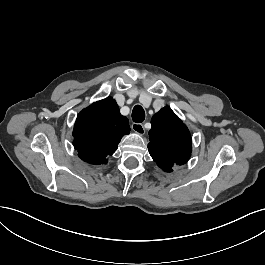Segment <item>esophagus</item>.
Listing matches in <instances>:
<instances>
[{
    "instance_id": "obj_1",
    "label": "esophagus",
    "mask_w": 265,
    "mask_h": 265,
    "mask_svg": "<svg viewBox=\"0 0 265 265\" xmlns=\"http://www.w3.org/2000/svg\"><path fill=\"white\" fill-rule=\"evenodd\" d=\"M132 130L137 133L138 135H144L145 134V128L143 124L141 123H133L132 124Z\"/></svg>"
}]
</instances>
